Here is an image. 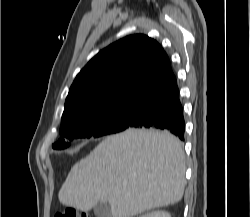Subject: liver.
Returning <instances> with one entry per match:
<instances>
[{
    "label": "liver",
    "instance_id": "obj_1",
    "mask_svg": "<svg viewBox=\"0 0 250 217\" xmlns=\"http://www.w3.org/2000/svg\"><path fill=\"white\" fill-rule=\"evenodd\" d=\"M185 170L178 138L154 129H127L106 137L76 163L58 198L85 212L105 202L113 217H133L179 202Z\"/></svg>",
    "mask_w": 250,
    "mask_h": 217
}]
</instances>
